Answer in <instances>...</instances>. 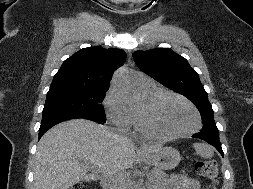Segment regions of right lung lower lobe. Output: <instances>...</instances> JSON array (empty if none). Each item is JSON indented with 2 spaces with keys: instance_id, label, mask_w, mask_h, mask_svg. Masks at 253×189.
<instances>
[{
  "instance_id": "1",
  "label": "right lung lower lobe",
  "mask_w": 253,
  "mask_h": 189,
  "mask_svg": "<svg viewBox=\"0 0 253 189\" xmlns=\"http://www.w3.org/2000/svg\"><path fill=\"white\" fill-rule=\"evenodd\" d=\"M74 118H85V119H90L93 121H96L100 124H102V121H99L95 118H91V117H83V116H77V115H68V114H60V115H49V116H44L42 118V122H41V126L39 129V139L42 137V135L49 130L51 127H53L54 125L65 121V120H69V119H74Z\"/></svg>"
}]
</instances>
